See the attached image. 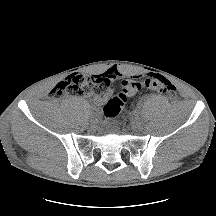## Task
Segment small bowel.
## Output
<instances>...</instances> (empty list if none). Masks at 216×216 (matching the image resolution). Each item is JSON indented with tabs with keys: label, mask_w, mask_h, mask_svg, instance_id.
Here are the masks:
<instances>
[{
	"label": "small bowel",
	"mask_w": 216,
	"mask_h": 216,
	"mask_svg": "<svg viewBox=\"0 0 216 216\" xmlns=\"http://www.w3.org/2000/svg\"><path fill=\"white\" fill-rule=\"evenodd\" d=\"M105 75L108 76L111 80H116V79L124 77V74L115 67L109 68L108 70H106ZM113 92H114V87L110 86L109 89L105 93H103L102 95H98L94 98L95 103L98 105L103 104L105 101H107L112 96ZM136 92L137 90L130 91L129 96L134 95Z\"/></svg>",
	"instance_id": "c3829d8e"
}]
</instances>
